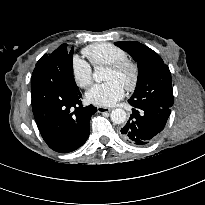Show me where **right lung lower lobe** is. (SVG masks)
<instances>
[{
	"instance_id": "obj_1",
	"label": "right lung lower lobe",
	"mask_w": 205,
	"mask_h": 205,
	"mask_svg": "<svg viewBox=\"0 0 205 205\" xmlns=\"http://www.w3.org/2000/svg\"><path fill=\"white\" fill-rule=\"evenodd\" d=\"M66 44L35 67L31 78L32 108L38 129L47 145L68 153L82 146L90 132L89 121L97 108L82 106L73 77V48Z\"/></svg>"
}]
</instances>
